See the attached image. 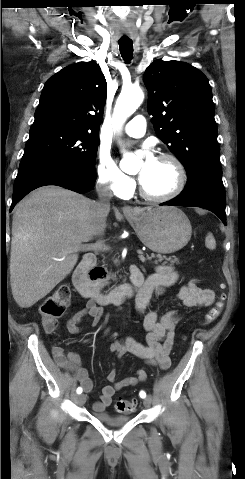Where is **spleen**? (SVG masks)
Wrapping results in <instances>:
<instances>
[{
	"label": "spleen",
	"instance_id": "1",
	"mask_svg": "<svg viewBox=\"0 0 245 479\" xmlns=\"http://www.w3.org/2000/svg\"><path fill=\"white\" fill-rule=\"evenodd\" d=\"M205 245L210 250H214L216 248V241L212 233H208L206 236Z\"/></svg>",
	"mask_w": 245,
	"mask_h": 479
}]
</instances>
